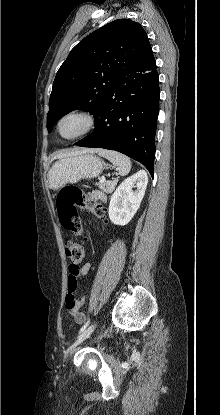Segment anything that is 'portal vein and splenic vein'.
Here are the masks:
<instances>
[{"mask_svg":"<svg viewBox=\"0 0 220 415\" xmlns=\"http://www.w3.org/2000/svg\"><path fill=\"white\" fill-rule=\"evenodd\" d=\"M105 181V177H101V182H104Z\"/></svg>","mask_w":220,"mask_h":415,"instance_id":"1","label":"portal vein and splenic vein"}]
</instances>
